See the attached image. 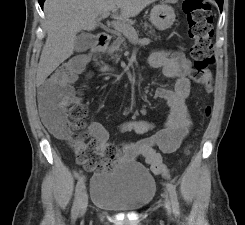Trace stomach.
I'll return each mask as SVG.
<instances>
[{
	"instance_id": "0dacf381",
	"label": "stomach",
	"mask_w": 245,
	"mask_h": 225,
	"mask_svg": "<svg viewBox=\"0 0 245 225\" xmlns=\"http://www.w3.org/2000/svg\"><path fill=\"white\" fill-rule=\"evenodd\" d=\"M174 9L167 4L155 5L150 12V22L160 31L170 28L175 22Z\"/></svg>"
}]
</instances>
